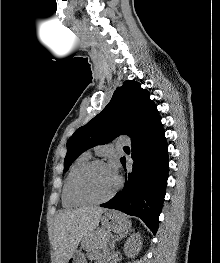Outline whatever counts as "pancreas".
<instances>
[{
	"label": "pancreas",
	"instance_id": "obj_1",
	"mask_svg": "<svg viewBox=\"0 0 220 263\" xmlns=\"http://www.w3.org/2000/svg\"><path fill=\"white\" fill-rule=\"evenodd\" d=\"M110 233L103 229L96 230L89 236L85 237L82 246L86 250H100L105 248Z\"/></svg>",
	"mask_w": 220,
	"mask_h": 263
}]
</instances>
